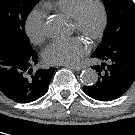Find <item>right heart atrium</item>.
<instances>
[{
    "mask_svg": "<svg viewBox=\"0 0 135 135\" xmlns=\"http://www.w3.org/2000/svg\"><path fill=\"white\" fill-rule=\"evenodd\" d=\"M25 31L34 44H40L45 40V17L40 10L34 9L28 14L25 21Z\"/></svg>",
    "mask_w": 135,
    "mask_h": 135,
    "instance_id": "right-heart-atrium-1",
    "label": "right heart atrium"
}]
</instances>
